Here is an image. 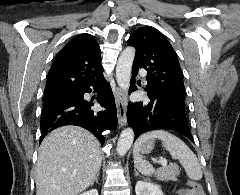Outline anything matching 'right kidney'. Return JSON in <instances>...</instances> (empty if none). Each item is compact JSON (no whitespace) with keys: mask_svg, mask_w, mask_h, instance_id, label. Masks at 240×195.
<instances>
[{"mask_svg":"<svg viewBox=\"0 0 240 195\" xmlns=\"http://www.w3.org/2000/svg\"><path fill=\"white\" fill-rule=\"evenodd\" d=\"M80 195H99L97 189H90V191H84V193H80Z\"/></svg>","mask_w":240,"mask_h":195,"instance_id":"1","label":"right kidney"}]
</instances>
